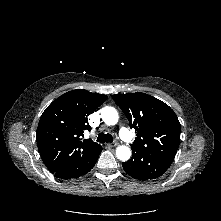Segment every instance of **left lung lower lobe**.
<instances>
[{"label": "left lung lower lobe", "instance_id": "left-lung-lower-lobe-1", "mask_svg": "<svg viewBox=\"0 0 221 221\" xmlns=\"http://www.w3.org/2000/svg\"><path fill=\"white\" fill-rule=\"evenodd\" d=\"M129 161L123 162L125 172L138 180H151L161 176L172 164L173 160L132 150Z\"/></svg>", "mask_w": 221, "mask_h": 221}]
</instances>
